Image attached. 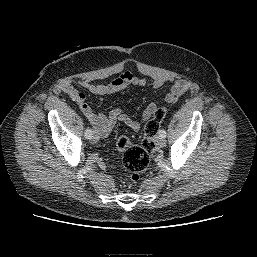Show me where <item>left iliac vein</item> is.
I'll use <instances>...</instances> for the list:
<instances>
[{"label":"left iliac vein","mask_w":257,"mask_h":257,"mask_svg":"<svg viewBox=\"0 0 257 257\" xmlns=\"http://www.w3.org/2000/svg\"><path fill=\"white\" fill-rule=\"evenodd\" d=\"M157 144L160 146V147H164L166 145V139L162 136H158L157 137Z\"/></svg>","instance_id":"obj_1"}]
</instances>
